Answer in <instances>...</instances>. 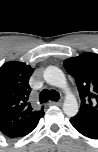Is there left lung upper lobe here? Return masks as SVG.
<instances>
[{"mask_svg": "<svg viewBox=\"0 0 98 152\" xmlns=\"http://www.w3.org/2000/svg\"><path fill=\"white\" fill-rule=\"evenodd\" d=\"M66 71L75 79L81 106L74 116L98 124V55L84 53L64 61Z\"/></svg>", "mask_w": 98, "mask_h": 152, "instance_id": "5c2ea615", "label": "left lung upper lobe"}]
</instances>
